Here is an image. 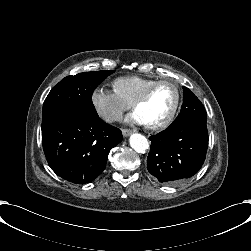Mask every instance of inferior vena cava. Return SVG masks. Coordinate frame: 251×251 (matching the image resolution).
<instances>
[{
  "label": "inferior vena cava",
  "instance_id": "602c4592",
  "mask_svg": "<svg viewBox=\"0 0 251 251\" xmlns=\"http://www.w3.org/2000/svg\"><path fill=\"white\" fill-rule=\"evenodd\" d=\"M102 118L104 121H106L108 123H112L115 121H122L123 115L119 112H111V113H107V114L103 115Z\"/></svg>",
  "mask_w": 251,
  "mask_h": 251
}]
</instances>
